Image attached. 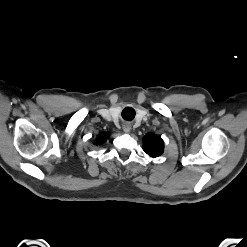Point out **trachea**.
I'll return each mask as SVG.
<instances>
[{"mask_svg": "<svg viewBox=\"0 0 247 247\" xmlns=\"http://www.w3.org/2000/svg\"><path fill=\"white\" fill-rule=\"evenodd\" d=\"M125 114H127V119L130 120L134 117L135 111L134 109L127 107L123 110V115L125 116Z\"/></svg>", "mask_w": 247, "mask_h": 247, "instance_id": "obj_1", "label": "trachea"}]
</instances>
